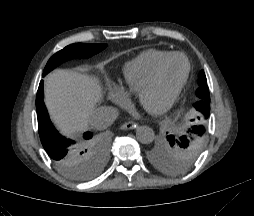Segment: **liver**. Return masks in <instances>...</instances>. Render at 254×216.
Here are the masks:
<instances>
[{"label": "liver", "mask_w": 254, "mask_h": 216, "mask_svg": "<svg viewBox=\"0 0 254 216\" xmlns=\"http://www.w3.org/2000/svg\"><path fill=\"white\" fill-rule=\"evenodd\" d=\"M101 99V87L92 76L57 69L45 79V104L54 124L67 136L89 127V117Z\"/></svg>", "instance_id": "1"}]
</instances>
